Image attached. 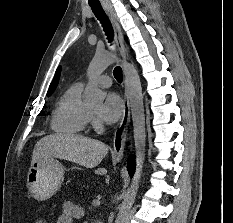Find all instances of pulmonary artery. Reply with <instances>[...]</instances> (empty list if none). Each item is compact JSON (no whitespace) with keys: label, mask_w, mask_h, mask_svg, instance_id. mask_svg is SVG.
I'll return each mask as SVG.
<instances>
[{"label":"pulmonary artery","mask_w":233,"mask_h":223,"mask_svg":"<svg viewBox=\"0 0 233 223\" xmlns=\"http://www.w3.org/2000/svg\"><path fill=\"white\" fill-rule=\"evenodd\" d=\"M99 82L103 87H108L111 84V78L104 75L100 77Z\"/></svg>","instance_id":"pulmonary-artery-1"}]
</instances>
